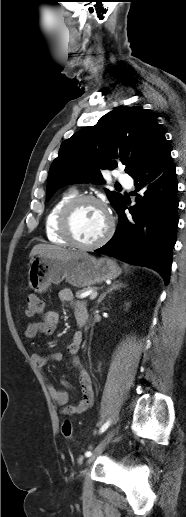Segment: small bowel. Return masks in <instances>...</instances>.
<instances>
[{"label": "small bowel", "instance_id": "1", "mask_svg": "<svg viewBox=\"0 0 186 517\" xmlns=\"http://www.w3.org/2000/svg\"><path fill=\"white\" fill-rule=\"evenodd\" d=\"M60 300L69 305L74 311L75 315L80 311L87 310L86 304L83 301L74 300L73 293L69 289H63L59 293ZM58 325V316L54 312H45L40 320L29 322L25 328V336L33 338L37 334L52 335ZM83 342V334L76 331L68 345L67 352L71 358L72 367L79 372V382L81 387V399L76 405H68V393L64 389H58L51 383L47 384L48 392L54 402L61 406V413L63 415H80L88 411L94 403V391L92 386V379L89 372L85 369L83 362L79 356V350ZM63 357L61 352H54L47 355L38 353L32 354L31 358L35 365L42 369L49 361L59 360ZM65 386L68 383L63 382Z\"/></svg>", "mask_w": 186, "mask_h": 517}]
</instances>
